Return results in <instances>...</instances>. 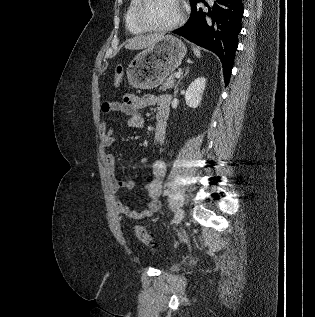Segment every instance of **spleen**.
<instances>
[{
  "mask_svg": "<svg viewBox=\"0 0 315 317\" xmlns=\"http://www.w3.org/2000/svg\"><path fill=\"white\" fill-rule=\"evenodd\" d=\"M192 49L194 51V54L197 56V57H200L201 56V52L199 50V48L195 47L194 45H192Z\"/></svg>",
  "mask_w": 315,
  "mask_h": 317,
  "instance_id": "3e777b00",
  "label": "spleen"
}]
</instances>
